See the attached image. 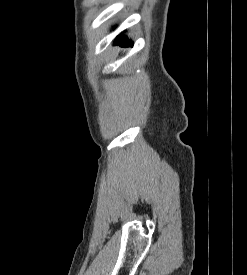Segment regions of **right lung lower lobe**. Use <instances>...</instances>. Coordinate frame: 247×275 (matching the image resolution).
Instances as JSON below:
<instances>
[{
  "instance_id": "obj_1",
  "label": "right lung lower lobe",
  "mask_w": 247,
  "mask_h": 275,
  "mask_svg": "<svg viewBox=\"0 0 247 275\" xmlns=\"http://www.w3.org/2000/svg\"><path fill=\"white\" fill-rule=\"evenodd\" d=\"M116 44H119L120 46H124V47L133 45L131 41H129L128 39L122 36L117 37Z\"/></svg>"
}]
</instances>
